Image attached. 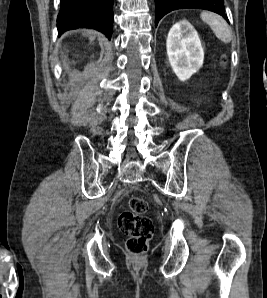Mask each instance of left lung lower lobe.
I'll return each mask as SVG.
<instances>
[{"instance_id":"0a47b994","label":"left lung lower lobe","mask_w":267,"mask_h":298,"mask_svg":"<svg viewBox=\"0 0 267 298\" xmlns=\"http://www.w3.org/2000/svg\"><path fill=\"white\" fill-rule=\"evenodd\" d=\"M156 16L155 26L159 20L167 13L183 8L206 9L223 16L227 22V16L224 10V0H155Z\"/></svg>"}]
</instances>
